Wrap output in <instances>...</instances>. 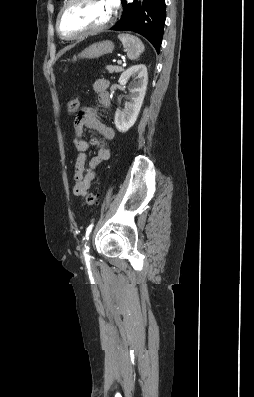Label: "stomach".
Here are the masks:
<instances>
[{"mask_svg":"<svg viewBox=\"0 0 254 397\" xmlns=\"http://www.w3.org/2000/svg\"><path fill=\"white\" fill-rule=\"evenodd\" d=\"M114 49V44L112 41L106 40V41H101L97 43H93L86 49H84L81 53H79L77 56L75 55L72 59V61H76L77 58H88V59H93V58H98L102 55L111 53Z\"/></svg>","mask_w":254,"mask_h":397,"instance_id":"0dacf381","label":"stomach"}]
</instances>
